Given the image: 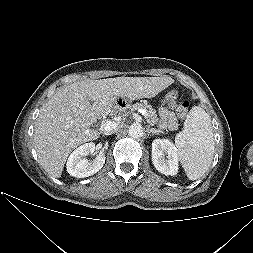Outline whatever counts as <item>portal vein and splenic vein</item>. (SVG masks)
<instances>
[{"label": "portal vein and splenic vein", "mask_w": 253, "mask_h": 253, "mask_svg": "<svg viewBox=\"0 0 253 253\" xmlns=\"http://www.w3.org/2000/svg\"><path fill=\"white\" fill-rule=\"evenodd\" d=\"M138 112L141 113L142 115H146V111L144 109H138ZM118 125V122L115 121H107L102 125V129L105 131H111L115 129Z\"/></svg>", "instance_id": "18ae733b"}]
</instances>
